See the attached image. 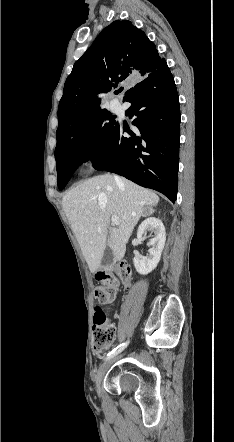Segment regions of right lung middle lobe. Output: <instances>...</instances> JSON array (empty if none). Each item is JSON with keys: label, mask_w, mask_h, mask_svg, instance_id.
<instances>
[{"label": "right lung middle lobe", "mask_w": 234, "mask_h": 442, "mask_svg": "<svg viewBox=\"0 0 234 442\" xmlns=\"http://www.w3.org/2000/svg\"><path fill=\"white\" fill-rule=\"evenodd\" d=\"M117 121L100 109L87 116L71 136L55 149L58 188L62 190L78 166L94 159L106 145Z\"/></svg>", "instance_id": "dd1d6c3e"}]
</instances>
